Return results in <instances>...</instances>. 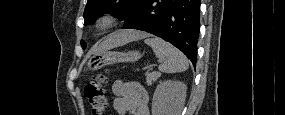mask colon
Returning <instances> with one entry per match:
<instances>
[{
    "label": "colon",
    "mask_w": 285,
    "mask_h": 115,
    "mask_svg": "<svg viewBox=\"0 0 285 115\" xmlns=\"http://www.w3.org/2000/svg\"><path fill=\"white\" fill-rule=\"evenodd\" d=\"M107 81L106 72L94 75L85 86V95L93 115H102L107 107L104 85Z\"/></svg>",
    "instance_id": "5ec220e1"
}]
</instances>
